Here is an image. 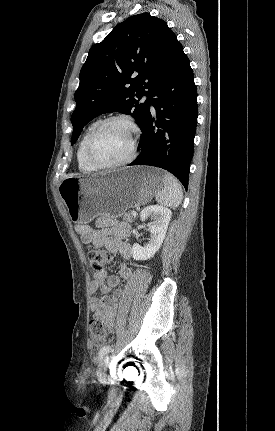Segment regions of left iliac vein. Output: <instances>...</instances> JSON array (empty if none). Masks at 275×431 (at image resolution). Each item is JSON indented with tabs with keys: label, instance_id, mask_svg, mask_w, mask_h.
I'll return each mask as SVG.
<instances>
[{
	"label": "left iliac vein",
	"instance_id": "4c4485c4",
	"mask_svg": "<svg viewBox=\"0 0 275 431\" xmlns=\"http://www.w3.org/2000/svg\"><path fill=\"white\" fill-rule=\"evenodd\" d=\"M109 364V357L102 359L98 365L96 375L99 381H104L106 378V370Z\"/></svg>",
	"mask_w": 275,
	"mask_h": 431
}]
</instances>
